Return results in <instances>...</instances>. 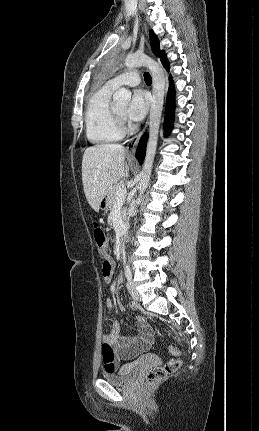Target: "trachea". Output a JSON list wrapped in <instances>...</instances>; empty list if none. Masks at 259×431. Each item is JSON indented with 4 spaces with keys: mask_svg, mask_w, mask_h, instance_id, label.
<instances>
[{
    "mask_svg": "<svg viewBox=\"0 0 259 431\" xmlns=\"http://www.w3.org/2000/svg\"><path fill=\"white\" fill-rule=\"evenodd\" d=\"M144 80H145L146 84H151L152 83L151 75L148 72L144 73Z\"/></svg>",
    "mask_w": 259,
    "mask_h": 431,
    "instance_id": "obj_1",
    "label": "trachea"
}]
</instances>
